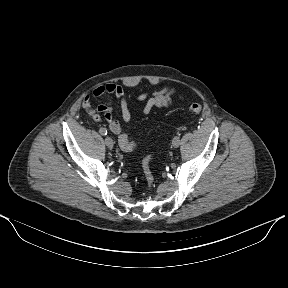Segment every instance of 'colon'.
Segmentation results:
<instances>
[{
    "mask_svg": "<svg viewBox=\"0 0 288 288\" xmlns=\"http://www.w3.org/2000/svg\"><path fill=\"white\" fill-rule=\"evenodd\" d=\"M201 110H202V107L198 103H194V104L190 105V107H189V113L191 115H198V114H200ZM91 116L93 118H95L94 113H92ZM119 144L126 151H132L136 147V143L130 141L126 134L122 135L119 138ZM151 161H152V157L148 156L142 162L143 173H144V176L146 178V181H147L149 187H151L154 183V176L152 174L151 167H150Z\"/></svg>",
    "mask_w": 288,
    "mask_h": 288,
    "instance_id": "1",
    "label": "colon"
}]
</instances>
